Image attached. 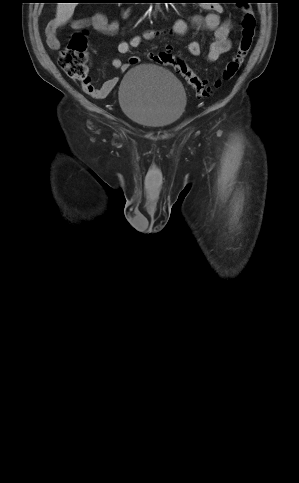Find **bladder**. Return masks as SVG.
Returning a JSON list of instances; mask_svg holds the SVG:
<instances>
[{"instance_id": "1", "label": "bladder", "mask_w": 299, "mask_h": 483, "mask_svg": "<svg viewBox=\"0 0 299 483\" xmlns=\"http://www.w3.org/2000/svg\"><path fill=\"white\" fill-rule=\"evenodd\" d=\"M118 98L128 118L150 128L175 124L187 107L181 81L153 64H139L129 69L120 82Z\"/></svg>"}]
</instances>
